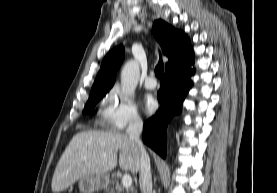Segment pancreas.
Instances as JSON below:
<instances>
[{"instance_id":"cf45deb5","label":"pancreas","mask_w":277,"mask_h":193,"mask_svg":"<svg viewBox=\"0 0 277 193\" xmlns=\"http://www.w3.org/2000/svg\"><path fill=\"white\" fill-rule=\"evenodd\" d=\"M115 191H119L121 193H136L132 188L128 189V188H124L119 180H113L111 182V188H110V193H114Z\"/></svg>"}]
</instances>
